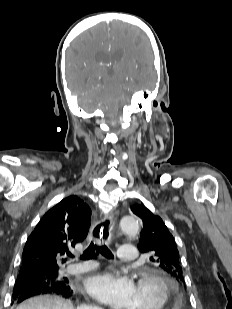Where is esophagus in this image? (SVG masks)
Wrapping results in <instances>:
<instances>
[{
    "label": "esophagus",
    "instance_id": "obj_1",
    "mask_svg": "<svg viewBox=\"0 0 232 309\" xmlns=\"http://www.w3.org/2000/svg\"><path fill=\"white\" fill-rule=\"evenodd\" d=\"M114 226L112 214H108L103 219L95 223L91 229V237L98 244H109L111 241V231Z\"/></svg>",
    "mask_w": 232,
    "mask_h": 309
}]
</instances>
